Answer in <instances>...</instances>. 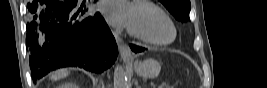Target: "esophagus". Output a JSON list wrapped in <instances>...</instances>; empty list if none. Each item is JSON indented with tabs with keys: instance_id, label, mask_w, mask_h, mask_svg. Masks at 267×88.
I'll use <instances>...</instances> for the list:
<instances>
[{
	"instance_id": "34e87169",
	"label": "esophagus",
	"mask_w": 267,
	"mask_h": 88,
	"mask_svg": "<svg viewBox=\"0 0 267 88\" xmlns=\"http://www.w3.org/2000/svg\"><path fill=\"white\" fill-rule=\"evenodd\" d=\"M113 34H114V37L116 39V43L118 45L122 60L125 63L131 62L132 61V55H131V50H130L129 46L118 36L117 33L114 32Z\"/></svg>"
}]
</instances>
